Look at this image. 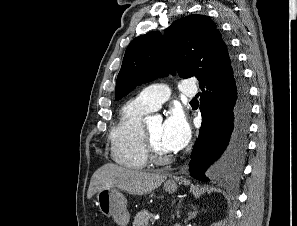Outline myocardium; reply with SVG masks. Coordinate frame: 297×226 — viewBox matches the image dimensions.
Listing matches in <instances>:
<instances>
[{"instance_id":"1","label":"myocardium","mask_w":297,"mask_h":226,"mask_svg":"<svg viewBox=\"0 0 297 226\" xmlns=\"http://www.w3.org/2000/svg\"><path fill=\"white\" fill-rule=\"evenodd\" d=\"M142 139H143V143H144V147H145L148 159L152 163L157 165H164L172 161L173 159L172 155H169V154L165 155L156 148V146L154 145L150 137V134L146 125H143L142 127Z\"/></svg>"}]
</instances>
